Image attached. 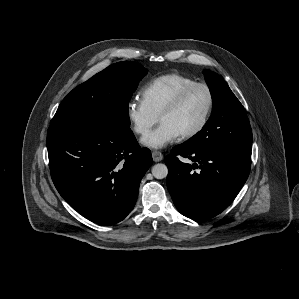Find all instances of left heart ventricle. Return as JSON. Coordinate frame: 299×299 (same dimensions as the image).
I'll return each mask as SVG.
<instances>
[{
  "instance_id": "obj_1",
  "label": "left heart ventricle",
  "mask_w": 299,
  "mask_h": 299,
  "mask_svg": "<svg viewBox=\"0 0 299 299\" xmlns=\"http://www.w3.org/2000/svg\"><path fill=\"white\" fill-rule=\"evenodd\" d=\"M207 103L208 98L205 90L195 88L176 110L163 116L160 122L170 124L181 135L199 124L205 113Z\"/></svg>"
}]
</instances>
